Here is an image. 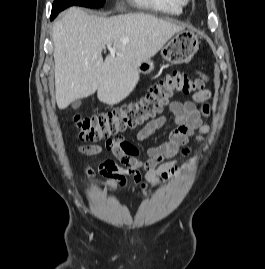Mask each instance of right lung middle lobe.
Returning a JSON list of instances; mask_svg holds the SVG:
<instances>
[{
    "label": "right lung middle lobe",
    "instance_id": "dd1d6c3e",
    "mask_svg": "<svg viewBox=\"0 0 265 269\" xmlns=\"http://www.w3.org/2000/svg\"><path fill=\"white\" fill-rule=\"evenodd\" d=\"M105 0H54L52 5V12L59 13L60 11L72 6L78 5L88 8L102 7Z\"/></svg>",
    "mask_w": 265,
    "mask_h": 269
}]
</instances>
